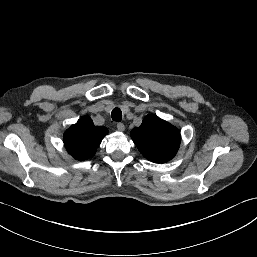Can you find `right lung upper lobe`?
Masks as SVG:
<instances>
[{
  "mask_svg": "<svg viewBox=\"0 0 257 257\" xmlns=\"http://www.w3.org/2000/svg\"><path fill=\"white\" fill-rule=\"evenodd\" d=\"M106 134V127L95 126L90 117L84 116L65 132L64 144L74 158L86 160L95 154Z\"/></svg>",
  "mask_w": 257,
  "mask_h": 257,
  "instance_id": "obj_1",
  "label": "right lung upper lobe"
}]
</instances>
